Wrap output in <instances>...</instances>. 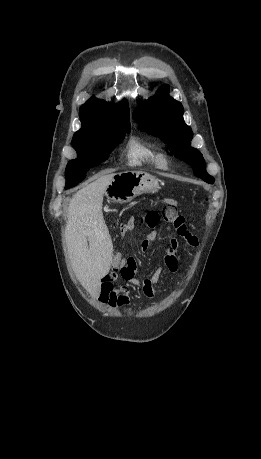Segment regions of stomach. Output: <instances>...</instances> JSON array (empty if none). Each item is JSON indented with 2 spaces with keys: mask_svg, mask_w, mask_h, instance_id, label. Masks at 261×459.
<instances>
[{
  "mask_svg": "<svg viewBox=\"0 0 261 459\" xmlns=\"http://www.w3.org/2000/svg\"><path fill=\"white\" fill-rule=\"evenodd\" d=\"M158 180L142 171H125L113 176L105 194L116 203H128L143 193L156 192Z\"/></svg>",
  "mask_w": 261,
  "mask_h": 459,
  "instance_id": "stomach-1",
  "label": "stomach"
}]
</instances>
